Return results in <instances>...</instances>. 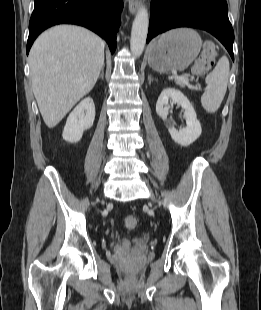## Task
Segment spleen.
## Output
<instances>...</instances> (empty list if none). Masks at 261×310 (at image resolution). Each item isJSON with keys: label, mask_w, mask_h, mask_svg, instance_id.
I'll use <instances>...</instances> for the list:
<instances>
[{"label": "spleen", "mask_w": 261, "mask_h": 310, "mask_svg": "<svg viewBox=\"0 0 261 310\" xmlns=\"http://www.w3.org/2000/svg\"><path fill=\"white\" fill-rule=\"evenodd\" d=\"M229 69L228 58L223 56L213 71L206 76L207 89L201 96V104L208 113H215L224 99L229 80Z\"/></svg>", "instance_id": "3e777b00"}]
</instances>
